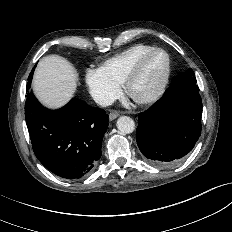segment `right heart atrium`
<instances>
[{
    "mask_svg": "<svg viewBox=\"0 0 232 232\" xmlns=\"http://www.w3.org/2000/svg\"><path fill=\"white\" fill-rule=\"evenodd\" d=\"M85 82L92 98L100 105H108L120 93L119 84L106 75L101 68L88 69Z\"/></svg>",
    "mask_w": 232,
    "mask_h": 232,
    "instance_id": "right-heart-atrium-1",
    "label": "right heart atrium"
}]
</instances>
